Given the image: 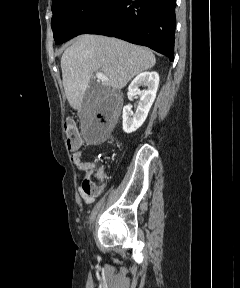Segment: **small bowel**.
<instances>
[{
	"label": "small bowel",
	"instance_id": "c3829d8e",
	"mask_svg": "<svg viewBox=\"0 0 240 288\" xmlns=\"http://www.w3.org/2000/svg\"><path fill=\"white\" fill-rule=\"evenodd\" d=\"M86 148L82 147V148H78L76 150H73L72 154H71V161L72 163L76 166L77 168V173H76V179L79 180L80 179V171H84L87 174L88 173H92L95 171L96 169V163L95 162H91V161H83L81 159L82 154L84 152ZM98 172L101 173V170L99 169ZM100 193V192H99ZM98 193V194H99ZM79 194L80 197L86 202V203H91L93 202L95 196H87L86 194H84V192L82 191V188H79Z\"/></svg>",
	"mask_w": 240,
	"mask_h": 288
}]
</instances>
